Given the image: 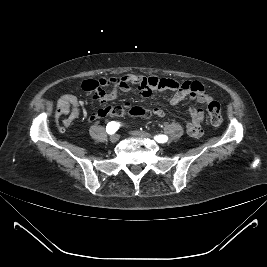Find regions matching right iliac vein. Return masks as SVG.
<instances>
[{"label": "right iliac vein", "instance_id": "obj_1", "mask_svg": "<svg viewBox=\"0 0 267 267\" xmlns=\"http://www.w3.org/2000/svg\"><path fill=\"white\" fill-rule=\"evenodd\" d=\"M120 136L118 134H113L111 137H110V142L112 143H116L118 140H119Z\"/></svg>", "mask_w": 267, "mask_h": 267}]
</instances>
